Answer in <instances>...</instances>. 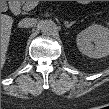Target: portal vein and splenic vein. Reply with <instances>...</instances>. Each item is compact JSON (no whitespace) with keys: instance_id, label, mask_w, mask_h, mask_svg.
<instances>
[{"instance_id":"1","label":"portal vein and splenic vein","mask_w":109,"mask_h":109,"mask_svg":"<svg viewBox=\"0 0 109 109\" xmlns=\"http://www.w3.org/2000/svg\"><path fill=\"white\" fill-rule=\"evenodd\" d=\"M39 4V1H27L24 5V10L29 11L35 8Z\"/></svg>"}]
</instances>
